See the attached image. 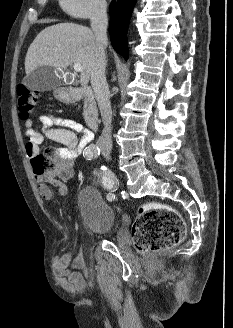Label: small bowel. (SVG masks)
Segmentation results:
<instances>
[{
    "label": "small bowel",
    "mask_w": 233,
    "mask_h": 328,
    "mask_svg": "<svg viewBox=\"0 0 233 328\" xmlns=\"http://www.w3.org/2000/svg\"><path fill=\"white\" fill-rule=\"evenodd\" d=\"M24 131L27 138L25 152L30 159L38 154L39 146L44 139L62 145L55 152V160L58 163L55 171L45 176H36V182L40 195L45 200L53 197L51 189L47 186L49 183L58 187L61 195H66V185L56 180L55 177L61 173H72L75 160L91 146L89 144L93 140V132L75 120L48 114L41 117L40 131L33 129L31 121H26ZM77 134L80 135V138L77 137ZM54 265L59 274L58 282L65 291L74 293L85 288L89 277L88 271L80 272L74 269L69 254L56 257Z\"/></svg>",
    "instance_id": "c3829d8e"
}]
</instances>
